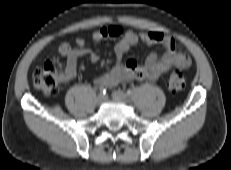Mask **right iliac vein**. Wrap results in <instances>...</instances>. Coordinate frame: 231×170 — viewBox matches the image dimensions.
<instances>
[{"mask_svg": "<svg viewBox=\"0 0 231 170\" xmlns=\"http://www.w3.org/2000/svg\"><path fill=\"white\" fill-rule=\"evenodd\" d=\"M104 100H105V98H104V96L101 95V94L97 97V103H98V104H102V103L104 102Z\"/></svg>", "mask_w": 231, "mask_h": 170, "instance_id": "63e3f726", "label": "right iliac vein"}]
</instances>
